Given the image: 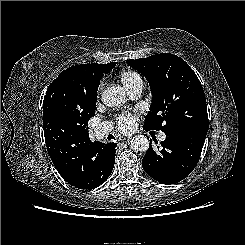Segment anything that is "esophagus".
I'll list each match as a JSON object with an SVG mask.
<instances>
[{
  "mask_svg": "<svg viewBox=\"0 0 245 245\" xmlns=\"http://www.w3.org/2000/svg\"><path fill=\"white\" fill-rule=\"evenodd\" d=\"M132 139L131 136L127 137V138H124L125 141H130Z\"/></svg>",
  "mask_w": 245,
  "mask_h": 245,
  "instance_id": "1",
  "label": "esophagus"
}]
</instances>
